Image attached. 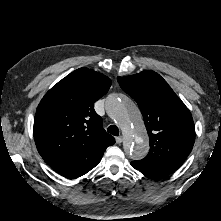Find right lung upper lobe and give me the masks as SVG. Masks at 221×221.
Instances as JSON below:
<instances>
[{
    "mask_svg": "<svg viewBox=\"0 0 221 221\" xmlns=\"http://www.w3.org/2000/svg\"><path fill=\"white\" fill-rule=\"evenodd\" d=\"M110 86L107 76L79 68L46 93L35 114L34 139L48 165L115 143L93 108Z\"/></svg>",
    "mask_w": 221,
    "mask_h": 221,
    "instance_id": "right-lung-upper-lobe-1",
    "label": "right lung upper lobe"
}]
</instances>
